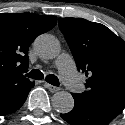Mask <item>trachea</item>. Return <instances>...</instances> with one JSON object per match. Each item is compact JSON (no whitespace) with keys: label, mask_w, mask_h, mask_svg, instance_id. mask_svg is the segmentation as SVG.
Masks as SVG:
<instances>
[{"label":"trachea","mask_w":125,"mask_h":125,"mask_svg":"<svg viewBox=\"0 0 125 125\" xmlns=\"http://www.w3.org/2000/svg\"><path fill=\"white\" fill-rule=\"evenodd\" d=\"M26 76L29 78L36 79V80H41L44 78L43 73L38 69L32 70L31 72L26 74ZM45 81H47L49 84L54 85V86H59L60 84L59 79L53 74L47 75L45 78Z\"/></svg>","instance_id":"3493384b"}]
</instances>
